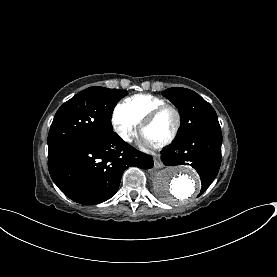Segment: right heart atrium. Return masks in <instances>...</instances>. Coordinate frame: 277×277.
Returning a JSON list of instances; mask_svg holds the SVG:
<instances>
[{"instance_id": "right-heart-atrium-1", "label": "right heart atrium", "mask_w": 277, "mask_h": 277, "mask_svg": "<svg viewBox=\"0 0 277 277\" xmlns=\"http://www.w3.org/2000/svg\"><path fill=\"white\" fill-rule=\"evenodd\" d=\"M112 122L114 130L122 140L131 142L134 139L139 123L132 116L118 108L113 115Z\"/></svg>"}]
</instances>
